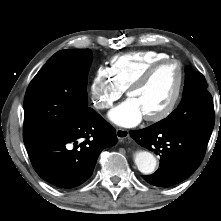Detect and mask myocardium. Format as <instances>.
<instances>
[{"label": "myocardium", "mask_w": 221, "mask_h": 221, "mask_svg": "<svg viewBox=\"0 0 221 221\" xmlns=\"http://www.w3.org/2000/svg\"><path fill=\"white\" fill-rule=\"evenodd\" d=\"M168 64H174L178 69L179 79H178L176 91H175L174 96L172 97L171 101L169 102V104L162 111H160L159 113L154 114V115L144 116L145 120L148 122L162 121V120L166 119L167 117H169L173 113V111L176 109V107L182 97L184 85H185V70H184L182 63L179 60L173 59V58H168V59L157 61V62L153 63L152 65H150L127 88V95L130 96V94L133 91L138 90V89L142 88L143 86H145L149 82V80L152 78V76L159 69H161L162 67H164Z\"/></svg>", "instance_id": "obj_1"}]
</instances>
